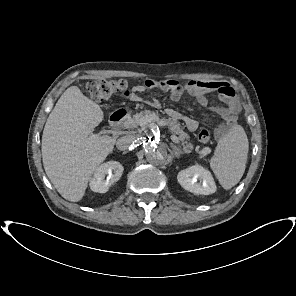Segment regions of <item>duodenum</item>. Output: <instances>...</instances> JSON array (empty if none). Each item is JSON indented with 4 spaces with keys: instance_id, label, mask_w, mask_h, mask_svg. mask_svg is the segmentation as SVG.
Wrapping results in <instances>:
<instances>
[{
    "instance_id": "duodenum-1",
    "label": "duodenum",
    "mask_w": 296,
    "mask_h": 296,
    "mask_svg": "<svg viewBox=\"0 0 296 296\" xmlns=\"http://www.w3.org/2000/svg\"><path fill=\"white\" fill-rule=\"evenodd\" d=\"M128 113L125 110H120L113 113L109 119V124L112 128H117L123 120L127 117Z\"/></svg>"
}]
</instances>
